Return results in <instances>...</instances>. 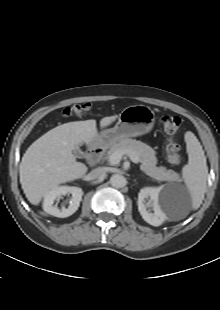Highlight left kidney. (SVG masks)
<instances>
[{
	"instance_id": "obj_1",
	"label": "left kidney",
	"mask_w": 220,
	"mask_h": 310,
	"mask_svg": "<svg viewBox=\"0 0 220 310\" xmlns=\"http://www.w3.org/2000/svg\"><path fill=\"white\" fill-rule=\"evenodd\" d=\"M162 188L146 187L138 194V210L142 218L153 226L161 225L166 219V211L171 200L161 193ZM152 207L153 213L148 208Z\"/></svg>"
}]
</instances>
